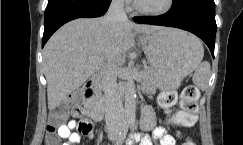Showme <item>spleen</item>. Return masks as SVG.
<instances>
[{"instance_id":"obj_1","label":"spleen","mask_w":243,"mask_h":145,"mask_svg":"<svg viewBox=\"0 0 243 145\" xmlns=\"http://www.w3.org/2000/svg\"><path fill=\"white\" fill-rule=\"evenodd\" d=\"M204 51L202 49V52L199 57L198 64L196 66L195 73L192 76L193 83L200 88L201 90H205L208 86L211 68L208 61H203L201 63V60L203 58Z\"/></svg>"}]
</instances>
